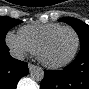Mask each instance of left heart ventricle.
Segmentation results:
<instances>
[{"label": "left heart ventricle", "instance_id": "obj_1", "mask_svg": "<svg viewBox=\"0 0 89 89\" xmlns=\"http://www.w3.org/2000/svg\"><path fill=\"white\" fill-rule=\"evenodd\" d=\"M76 37L70 30L57 33L43 51V57L52 63H57L68 58L74 50Z\"/></svg>", "mask_w": 89, "mask_h": 89}]
</instances>
